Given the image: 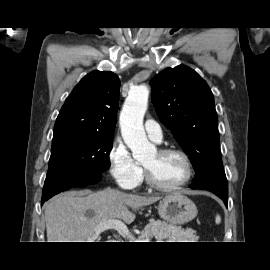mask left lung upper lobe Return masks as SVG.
I'll return each instance as SVG.
<instances>
[{
	"mask_svg": "<svg viewBox=\"0 0 270 270\" xmlns=\"http://www.w3.org/2000/svg\"><path fill=\"white\" fill-rule=\"evenodd\" d=\"M150 83L159 119L192 158L194 181L224 170L214 97L207 83L184 65L166 68Z\"/></svg>",
	"mask_w": 270,
	"mask_h": 270,
	"instance_id": "1",
	"label": "left lung upper lobe"
}]
</instances>
